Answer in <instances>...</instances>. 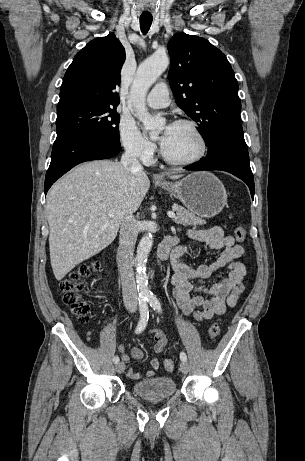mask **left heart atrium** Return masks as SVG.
I'll return each instance as SVG.
<instances>
[{"label": "left heart atrium", "instance_id": "1", "mask_svg": "<svg viewBox=\"0 0 305 461\" xmlns=\"http://www.w3.org/2000/svg\"><path fill=\"white\" fill-rule=\"evenodd\" d=\"M173 125L174 124H170L168 125L166 128H165V131L161 137V143H162V146L167 142V140L169 139L170 135H171V132H172V128H173Z\"/></svg>", "mask_w": 305, "mask_h": 461}]
</instances>
